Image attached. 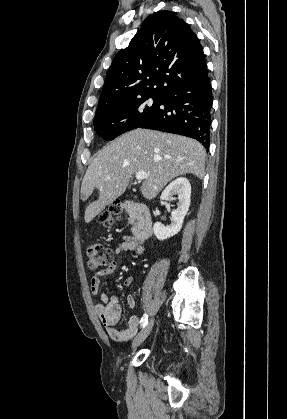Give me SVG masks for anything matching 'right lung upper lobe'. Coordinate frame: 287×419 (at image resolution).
<instances>
[{"label":"right lung upper lobe","mask_w":287,"mask_h":419,"mask_svg":"<svg viewBox=\"0 0 287 419\" xmlns=\"http://www.w3.org/2000/svg\"><path fill=\"white\" fill-rule=\"evenodd\" d=\"M206 73L203 49L190 26L171 11L156 12L115 56L97 111L148 95L163 96Z\"/></svg>","instance_id":"cb5924a9"}]
</instances>
